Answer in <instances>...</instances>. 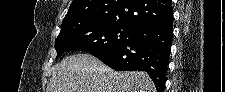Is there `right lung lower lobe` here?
Segmentation results:
<instances>
[{
  "instance_id": "1",
  "label": "right lung lower lobe",
  "mask_w": 225,
  "mask_h": 92,
  "mask_svg": "<svg viewBox=\"0 0 225 92\" xmlns=\"http://www.w3.org/2000/svg\"><path fill=\"white\" fill-rule=\"evenodd\" d=\"M173 38V19L135 28L123 43L91 55L118 71H145L163 92Z\"/></svg>"
}]
</instances>
